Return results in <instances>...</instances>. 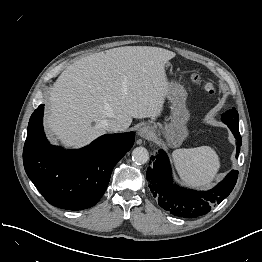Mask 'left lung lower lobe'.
<instances>
[{"mask_svg":"<svg viewBox=\"0 0 262 262\" xmlns=\"http://www.w3.org/2000/svg\"><path fill=\"white\" fill-rule=\"evenodd\" d=\"M228 127L238 141L237 157L242 143L239 126L230 124ZM151 160L152 164L146 173L150 190L164 210L178 217L195 218L207 214L230 194L238 178V171L232 170L210 190L187 189L173 183L169 159L163 150H159L155 157L151 156Z\"/></svg>","mask_w":262,"mask_h":262,"instance_id":"left-lung-lower-lobe-1","label":"left lung lower lobe"}]
</instances>
